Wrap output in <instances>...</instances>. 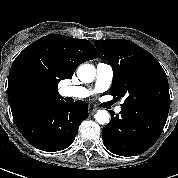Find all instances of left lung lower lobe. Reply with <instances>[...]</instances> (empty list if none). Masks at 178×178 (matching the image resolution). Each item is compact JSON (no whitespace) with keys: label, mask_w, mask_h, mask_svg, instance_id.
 Segmentation results:
<instances>
[{"label":"left lung lower lobe","mask_w":178,"mask_h":178,"mask_svg":"<svg viewBox=\"0 0 178 178\" xmlns=\"http://www.w3.org/2000/svg\"><path fill=\"white\" fill-rule=\"evenodd\" d=\"M111 112V121L102 130L105 147L120 156H135L148 150L161 135L164 126L136 117L123 110Z\"/></svg>","instance_id":"left-lung-lower-lobe-1"}]
</instances>
